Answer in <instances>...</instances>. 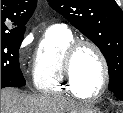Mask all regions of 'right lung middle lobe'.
I'll return each instance as SVG.
<instances>
[{"instance_id": "dd1d6c3e", "label": "right lung middle lobe", "mask_w": 123, "mask_h": 113, "mask_svg": "<svg viewBox=\"0 0 123 113\" xmlns=\"http://www.w3.org/2000/svg\"><path fill=\"white\" fill-rule=\"evenodd\" d=\"M23 35L1 37V88L22 87L25 79L19 67V48Z\"/></svg>"}]
</instances>
